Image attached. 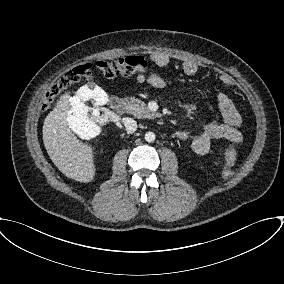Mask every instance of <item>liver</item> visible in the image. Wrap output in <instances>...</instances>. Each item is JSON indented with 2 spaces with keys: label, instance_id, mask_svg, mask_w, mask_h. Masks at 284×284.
Here are the masks:
<instances>
[{
  "label": "liver",
  "instance_id": "liver-1",
  "mask_svg": "<svg viewBox=\"0 0 284 284\" xmlns=\"http://www.w3.org/2000/svg\"><path fill=\"white\" fill-rule=\"evenodd\" d=\"M69 93L60 96L43 124V143L54 165L68 178L88 183L94 179L93 148L77 139L68 123Z\"/></svg>",
  "mask_w": 284,
  "mask_h": 284
}]
</instances>
